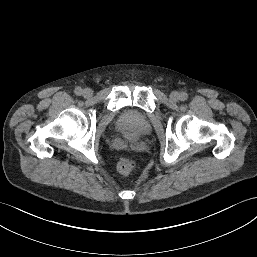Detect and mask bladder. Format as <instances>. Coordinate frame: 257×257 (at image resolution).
<instances>
[{"label":"bladder","mask_w":257,"mask_h":257,"mask_svg":"<svg viewBox=\"0 0 257 257\" xmlns=\"http://www.w3.org/2000/svg\"><path fill=\"white\" fill-rule=\"evenodd\" d=\"M116 128L128 139L136 140L149 132L150 122L145 115L128 111L119 118Z\"/></svg>","instance_id":"bladder-1"}]
</instances>
